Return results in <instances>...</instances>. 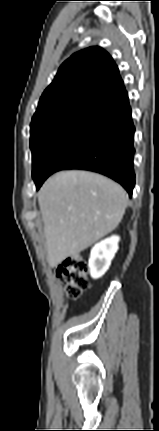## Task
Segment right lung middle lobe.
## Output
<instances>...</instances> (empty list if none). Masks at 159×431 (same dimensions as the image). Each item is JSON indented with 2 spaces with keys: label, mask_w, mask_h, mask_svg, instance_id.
Here are the masks:
<instances>
[{
  "label": "right lung middle lobe",
  "mask_w": 159,
  "mask_h": 431,
  "mask_svg": "<svg viewBox=\"0 0 159 431\" xmlns=\"http://www.w3.org/2000/svg\"><path fill=\"white\" fill-rule=\"evenodd\" d=\"M85 120L79 116L55 114L31 122L30 148L33 179L39 176L43 164L57 143Z\"/></svg>",
  "instance_id": "1"
}]
</instances>
